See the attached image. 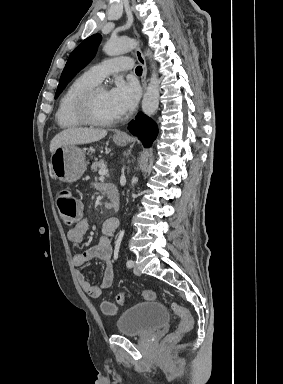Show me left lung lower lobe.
<instances>
[{
    "label": "left lung lower lobe",
    "instance_id": "obj_1",
    "mask_svg": "<svg viewBox=\"0 0 283 384\" xmlns=\"http://www.w3.org/2000/svg\"><path fill=\"white\" fill-rule=\"evenodd\" d=\"M128 129L133 135L138 136L145 147L150 146L158 134L156 123L143 113L137 114L135 120L129 123Z\"/></svg>",
    "mask_w": 283,
    "mask_h": 384
}]
</instances>
